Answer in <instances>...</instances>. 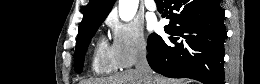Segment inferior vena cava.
I'll return each mask as SVG.
<instances>
[{"mask_svg": "<svg viewBox=\"0 0 260 84\" xmlns=\"http://www.w3.org/2000/svg\"><path fill=\"white\" fill-rule=\"evenodd\" d=\"M136 71L144 75L147 84L153 83L152 70L147 61L146 50H142L137 58Z\"/></svg>", "mask_w": 260, "mask_h": 84, "instance_id": "inferior-vena-cava-1", "label": "inferior vena cava"}]
</instances>
